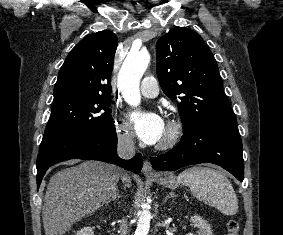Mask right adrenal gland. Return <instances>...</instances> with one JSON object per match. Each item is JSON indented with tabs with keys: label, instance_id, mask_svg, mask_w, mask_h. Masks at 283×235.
Returning a JSON list of instances; mask_svg holds the SVG:
<instances>
[{
	"label": "right adrenal gland",
	"instance_id": "2a0ac1e0",
	"mask_svg": "<svg viewBox=\"0 0 283 235\" xmlns=\"http://www.w3.org/2000/svg\"><path fill=\"white\" fill-rule=\"evenodd\" d=\"M119 198H120V194L118 193V190L115 189L112 197L109 199V202L114 201V200L119 199Z\"/></svg>",
	"mask_w": 283,
	"mask_h": 235
}]
</instances>
